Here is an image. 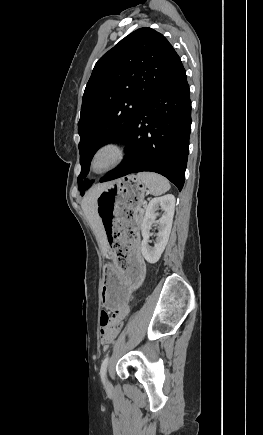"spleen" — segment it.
Returning a JSON list of instances; mask_svg holds the SVG:
<instances>
[{
  "label": "spleen",
  "mask_w": 263,
  "mask_h": 435,
  "mask_svg": "<svg viewBox=\"0 0 263 435\" xmlns=\"http://www.w3.org/2000/svg\"><path fill=\"white\" fill-rule=\"evenodd\" d=\"M137 178L149 189L154 196L161 195L170 189V184L163 176L153 172H140Z\"/></svg>",
  "instance_id": "1"
}]
</instances>
